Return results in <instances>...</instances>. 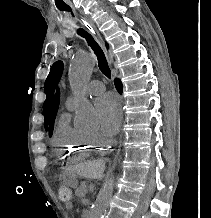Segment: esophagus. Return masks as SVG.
<instances>
[{
    "instance_id": "esophagus-1",
    "label": "esophagus",
    "mask_w": 211,
    "mask_h": 218,
    "mask_svg": "<svg viewBox=\"0 0 211 218\" xmlns=\"http://www.w3.org/2000/svg\"><path fill=\"white\" fill-rule=\"evenodd\" d=\"M89 25H90V27L88 28V30L93 34V36L96 38L98 43L101 45V47L103 48V50H104V52H105V54H106V56H107V58L109 60L108 52L106 50L104 42H103V40H102V38H101V36H100L96 26L93 23H90ZM122 102H123V100L120 99V105H122ZM120 114H121V120H122L123 119L122 106L120 108Z\"/></svg>"
}]
</instances>
